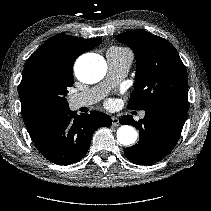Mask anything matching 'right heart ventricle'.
I'll return each instance as SVG.
<instances>
[{"label": "right heart ventricle", "instance_id": "e07e8e85", "mask_svg": "<svg viewBox=\"0 0 211 211\" xmlns=\"http://www.w3.org/2000/svg\"><path fill=\"white\" fill-rule=\"evenodd\" d=\"M111 49L120 50V51H126V49L121 47H112Z\"/></svg>", "mask_w": 211, "mask_h": 211}]
</instances>
